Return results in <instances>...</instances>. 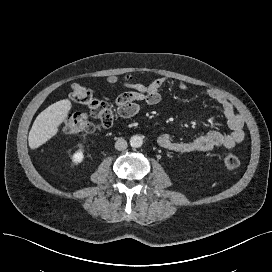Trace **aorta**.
Wrapping results in <instances>:
<instances>
[{
  "label": "aorta",
  "instance_id": "1",
  "mask_svg": "<svg viewBox=\"0 0 272 272\" xmlns=\"http://www.w3.org/2000/svg\"><path fill=\"white\" fill-rule=\"evenodd\" d=\"M143 144V138L139 135H134L130 138V145L133 148H139Z\"/></svg>",
  "mask_w": 272,
  "mask_h": 272
}]
</instances>
